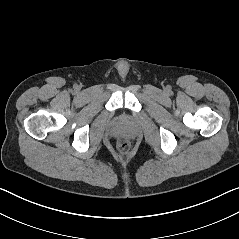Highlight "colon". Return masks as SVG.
Instances as JSON below:
<instances>
[{
	"label": "colon",
	"instance_id": "1",
	"mask_svg": "<svg viewBox=\"0 0 239 239\" xmlns=\"http://www.w3.org/2000/svg\"><path fill=\"white\" fill-rule=\"evenodd\" d=\"M118 148L121 150V151H125L127 148H128V142L127 141H120L118 143Z\"/></svg>",
	"mask_w": 239,
	"mask_h": 239
}]
</instances>
